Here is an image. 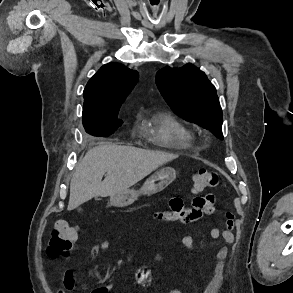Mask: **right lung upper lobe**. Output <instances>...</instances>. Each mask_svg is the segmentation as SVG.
<instances>
[{
  "mask_svg": "<svg viewBox=\"0 0 293 293\" xmlns=\"http://www.w3.org/2000/svg\"><path fill=\"white\" fill-rule=\"evenodd\" d=\"M138 78L137 71L119 63H108L101 67L84 89L83 116L119 112Z\"/></svg>",
  "mask_w": 293,
  "mask_h": 293,
  "instance_id": "obj_1",
  "label": "right lung upper lobe"
}]
</instances>
